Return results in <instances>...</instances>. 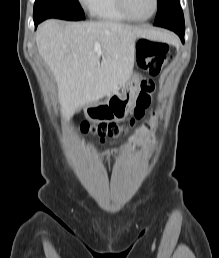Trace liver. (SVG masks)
Returning <instances> with one entry per match:
<instances>
[{
  "label": "liver",
  "mask_w": 219,
  "mask_h": 258,
  "mask_svg": "<svg viewBox=\"0 0 219 258\" xmlns=\"http://www.w3.org/2000/svg\"><path fill=\"white\" fill-rule=\"evenodd\" d=\"M139 37L172 40L164 31L107 21L60 24L51 19L38 26L37 48L54 76L67 117L126 85ZM95 42L100 44L101 54L95 52Z\"/></svg>",
  "instance_id": "liver-1"
}]
</instances>
